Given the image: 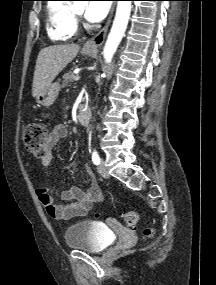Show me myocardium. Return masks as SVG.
<instances>
[{
    "label": "myocardium",
    "mask_w": 216,
    "mask_h": 285,
    "mask_svg": "<svg viewBox=\"0 0 216 285\" xmlns=\"http://www.w3.org/2000/svg\"><path fill=\"white\" fill-rule=\"evenodd\" d=\"M72 10H73V13H74L75 18H76V19H77V18H80L81 13H80L75 7H73V6H72Z\"/></svg>",
    "instance_id": "obj_1"
}]
</instances>
